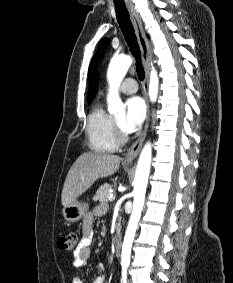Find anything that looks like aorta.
Segmentation results:
<instances>
[{"label":"aorta","mask_w":233,"mask_h":283,"mask_svg":"<svg viewBox=\"0 0 233 283\" xmlns=\"http://www.w3.org/2000/svg\"><path fill=\"white\" fill-rule=\"evenodd\" d=\"M131 64L132 58L128 55L115 56L109 64L107 71V80L109 83L107 103L108 111L111 114H125V105L119 96L118 89ZM158 86L159 79L157 71L152 68L149 81V97L151 102L157 100ZM151 158L152 145L150 142H147L140 153L134 178L133 208L122 245L121 263L123 265H128L130 262L131 248L144 206Z\"/></svg>","instance_id":"aorta-1"}]
</instances>
